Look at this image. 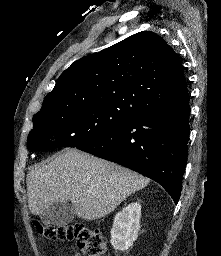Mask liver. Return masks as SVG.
Here are the masks:
<instances>
[{
	"instance_id": "liver-1",
	"label": "liver",
	"mask_w": 221,
	"mask_h": 256,
	"mask_svg": "<svg viewBox=\"0 0 221 256\" xmlns=\"http://www.w3.org/2000/svg\"><path fill=\"white\" fill-rule=\"evenodd\" d=\"M148 183L134 171L69 148L28 173V206L32 214L42 215L53 204L71 201L75 215L91 221L108 215Z\"/></svg>"
}]
</instances>
